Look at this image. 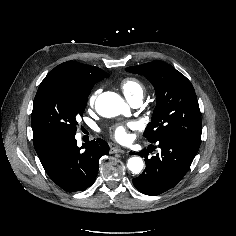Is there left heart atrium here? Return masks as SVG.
I'll return each instance as SVG.
<instances>
[{
    "mask_svg": "<svg viewBox=\"0 0 236 236\" xmlns=\"http://www.w3.org/2000/svg\"><path fill=\"white\" fill-rule=\"evenodd\" d=\"M135 128V123L129 122L126 125H117L112 128L111 134L118 142H126L129 139L128 129Z\"/></svg>",
    "mask_w": 236,
    "mask_h": 236,
    "instance_id": "39dd6f15",
    "label": "left heart atrium"
}]
</instances>
